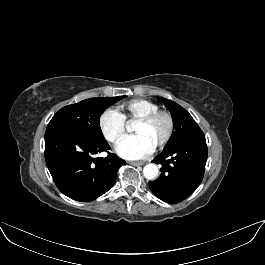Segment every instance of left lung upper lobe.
I'll use <instances>...</instances> for the list:
<instances>
[{
  "mask_svg": "<svg viewBox=\"0 0 265 265\" xmlns=\"http://www.w3.org/2000/svg\"><path fill=\"white\" fill-rule=\"evenodd\" d=\"M157 99L169 109L175 128V131L170 137L165 148L171 147L178 142L184 141L196 135L203 134L202 130L199 128L192 116L183 107L162 97H158Z\"/></svg>",
  "mask_w": 265,
  "mask_h": 265,
  "instance_id": "1",
  "label": "left lung upper lobe"
}]
</instances>
